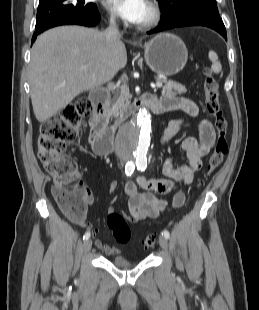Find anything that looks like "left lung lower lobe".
<instances>
[{
	"mask_svg": "<svg viewBox=\"0 0 259 310\" xmlns=\"http://www.w3.org/2000/svg\"><path fill=\"white\" fill-rule=\"evenodd\" d=\"M183 26H206L211 29H214L227 40L226 29L222 19L220 17L205 16V15H193L172 23L160 24L155 29L149 31L148 34Z\"/></svg>",
	"mask_w": 259,
	"mask_h": 310,
	"instance_id": "0a47b994",
	"label": "left lung lower lobe"
}]
</instances>
